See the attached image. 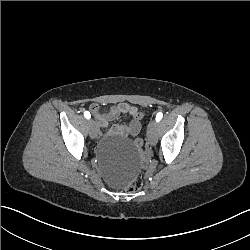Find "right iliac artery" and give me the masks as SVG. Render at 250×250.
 Instances as JSON below:
<instances>
[{"label": "right iliac artery", "mask_w": 250, "mask_h": 250, "mask_svg": "<svg viewBox=\"0 0 250 250\" xmlns=\"http://www.w3.org/2000/svg\"><path fill=\"white\" fill-rule=\"evenodd\" d=\"M84 116H85V118H87V119H90V117H91V115H90V113H89L88 111H85V112H84Z\"/></svg>", "instance_id": "obj_1"}]
</instances>
